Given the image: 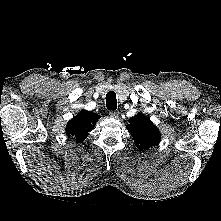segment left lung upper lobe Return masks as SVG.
Here are the masks:
<instances>
[{
  "mask_svg": "<svg viewBox=\"0 0 221 221\" xmlns=\"http://www.w3.org/2000/svg\"><path fill=\"white\" fill-rule=\"evenodd\" d=\"M128 132L134 139L138 149L146 150L158 145L160 132L156 126L143 114H138L129 120Z\"/></svg>",
  "mask_w": 221,
  "mask_h": 221,
  "instance_id": "1",
  "label": "left lung upper lobe"
}]
</instances>
